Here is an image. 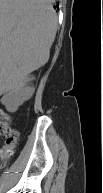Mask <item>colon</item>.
Segmentation results:
<instances>
[{"mask_svg": "<svg viewBox=\"0 0 103 193\" xmlns=\"http://www.w3.org/2000/svg\"><path fill=\"white\" fill-rule=\"evenodd\" d=\"M14 143V137L12 135L7 139V145L11 146ZM10 152V150H8Z\"/></svg>", "mask_w": 103, "mask_h": 193, "instance_id": "colon-1", "label": "colon"}]
</instances>
